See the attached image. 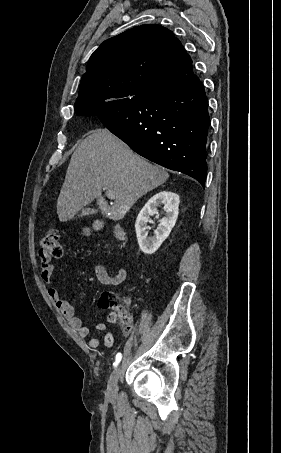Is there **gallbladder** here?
<instances>
[{
    "mask_svg": "<svg viewBox=\"0 0 281 453\" xmlns=\"http://www.w3.org/2000/svg\"><path fill=\"white\" fill-rule=\"evenodd\" d=\"M94 212H96L94 208H84V210H82L81 214H78V216H82V214H94Z\"/></svg>",
    "mask_w": 281,
    "mask_h": 453,
    "instance_id": "bac80fb5",
    "label": "gallbladder"
}]
</instances>
